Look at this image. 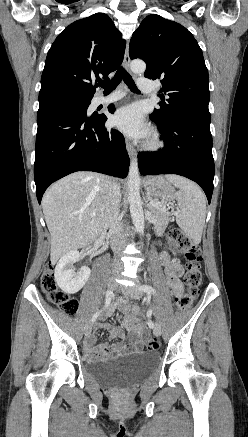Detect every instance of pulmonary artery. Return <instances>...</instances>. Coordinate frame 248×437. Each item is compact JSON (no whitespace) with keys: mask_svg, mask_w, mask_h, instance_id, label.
Instances as JSON below:
<instances>
[{"mask_svg":"<svg viewBox=\"0 0 248 437\" xmlns=\"http://www.w3.org/2000/svg\"><path fill=\"white\" fill-rule=\"evenodd\" d=\"M138 88L142 91V92H151L154 90V83L152 80L146 78V77H141L138 79ZM124 96L123 93H112L106 97H100L98 99V103L100 104H108L114 101H117L119 99H121Z\"/></svg>","mask_w":248,"mask_h":437,"instance_id":"pulmonary-artery-1","label":"pulmonary artery"}]
</instances>
